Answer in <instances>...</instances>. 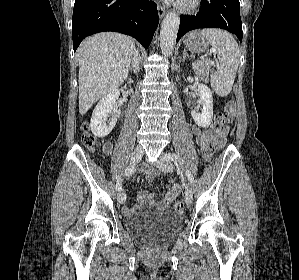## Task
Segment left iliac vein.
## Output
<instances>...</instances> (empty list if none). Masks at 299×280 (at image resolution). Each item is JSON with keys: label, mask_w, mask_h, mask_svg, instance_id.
<instances>
[{"label": "left iliac vein", "mask_w": 299, "mask_h": 280, "mask_svg": "<svg viewBox=\"0 0 299 280\" xmlns=\"http://www.w3.org/2000/svg\"><path fill=\"white\" fill-rule=\"evenodd\" d=\"M156 166L160 171L165 173L172 172L173 170V164L171 160L166 158V154L162 156L161 160L156 164ZM184 199L187 205L192 202V190L188 185L185 187Z\"/></svg>", "instance_id": "1"}]
</instances>
